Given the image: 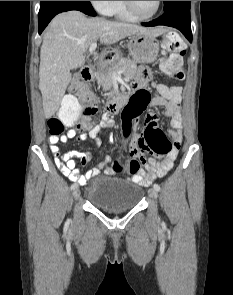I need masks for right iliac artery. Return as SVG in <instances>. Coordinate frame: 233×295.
<instances>
[{
    "label": "right iliac artery",
    "mask_w": 233,
    "mask_h": 295,
    "mask_svg": "<svg viewBox=\"0 0 233 295\" xmlns=\"http://www.w3.org/2000/svg\"><path fill=\"white\" fill-rule=\"evenodd\" d=\"M78 185L76 183L71 185V190H74Z\"/></svg>",
    "instance_id": "1"
}]
</instances>
